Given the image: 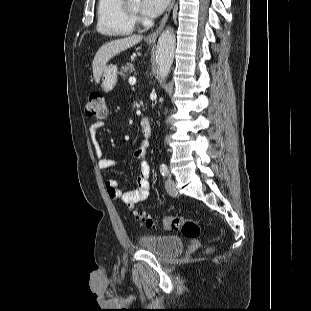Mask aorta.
<instances>
[{"label": "aorta", "mask_w": 311, "mask_h": 311, "mask_svg": "<svg viewBox=\"0 0 311 311\" xmlns=\"http://www.w3.org/2000/svg\"><path fill=\"white\" fill-rule=\"evenodd\" d=\"M176 39L171 29L162 32L158 39L156 49L157 74L164 80L170 71L174 59Z\"/></svg>", "instance_id": "762f6f07"}]
</instances>
